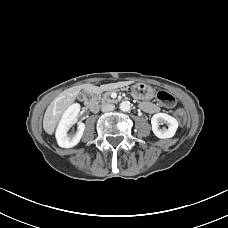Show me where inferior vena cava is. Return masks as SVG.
I'll list each match as a JSON object with an SVG mask.
<instances>
[{
  "instance_id": "602c4592",
  "label": "inferior vena cava",
  "mask_w": 228,
  "mask_h": 228,
  "mask_svg": "<svg viewBox=\"0 0 228 228\" xmlns=\"http://www.w3.org/2000/svg\"><path fill=\"white\" fill-rule=\"evenodd\" d=\"M114 109H115V106L113 104H105L101 108L102 112H109V111H113Z\"/></svg>"
}]
</instances>
